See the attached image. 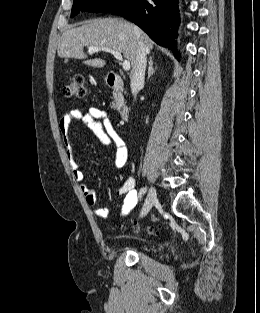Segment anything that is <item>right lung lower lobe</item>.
Masks as SVG:
<instances>
[{
	"label": "right lung lower lobe",
	"instance_id": "1",
	"mask_svg": "<svg viewBox=\"0 0 260 313\" xmlns=\"http://www.w3.org/2000/svg\"><path fill=\"white\" fill-rule=\"evenodd\" d=\"M138 25L157 44L167 47L179 57L176 49L179 26L178 0H127L111 11Z\"/></svg>",
	"mask_w": 260,
	"mask_h": 313
}]
</instances>
